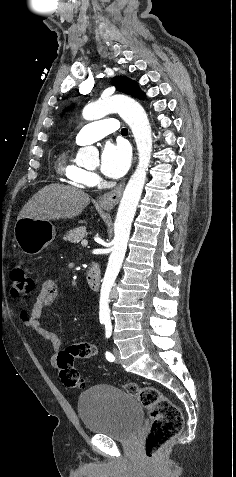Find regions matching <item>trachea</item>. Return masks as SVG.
Segmentation results:
<instances>
[{
	"mask_svg": "<svg viewBox=\"0 0 236 477\" xmlns=\"http://www.w3.org/2000/svg\"><path fill=\"white\" fill-rule=\"evenodd\" d=\"M127 133H128V129L123 128V129L121 130V134H127Z\"/></svg>",
	"mask_w": 236,
	"mask_h": 477,
	"instance_id": "3493384b",
	"label": "trachea"
}]
</instances>
